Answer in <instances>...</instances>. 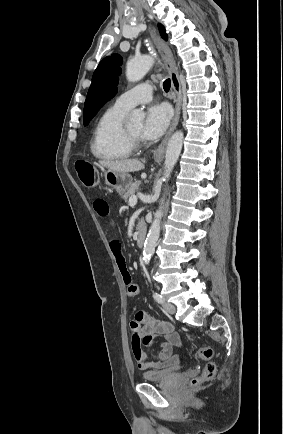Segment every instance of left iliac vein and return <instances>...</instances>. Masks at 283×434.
<instances>
[{
  "label": "left iliac vein",
  "instance_id": "left-iliac-vein-1",
  "mask_svg": "<svg viewBox=\"0 0 283 434\" xmlns=\"http://www.w3.org/2000/svg\"><path fill=\"white\" fill-rule=\"evenodd\" d=\"M163 308L165 309L166 312L170 313V314H174L176 311V308L173 304L167 303V302H163L162 303Z\"/></svg>",
  "mask_w": 283,
  "mask_h": 434
}]
</instances>
